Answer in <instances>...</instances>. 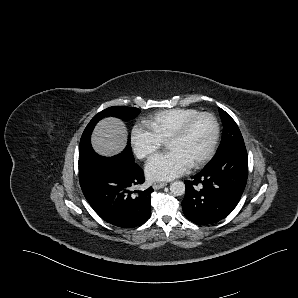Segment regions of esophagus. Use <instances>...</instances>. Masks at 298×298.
Masks as SVG:
<instances>
[{
    "label": "esophagus",
    "mask_w": 298,
    "mask_h": 298,
    "mask_svg": "<svg viewBox=\"0 0 298 298\" xmlns=\"http://www.w3.org/2000/svg\"><path fill=\"white\" fill-rule=\"evenodd\" d=\"M167 184L165 182L156 181L152 184V187L157 190L165 187Z\"/></svg>",
    "instance_id": "esophagus-1"
}]
</instances>
